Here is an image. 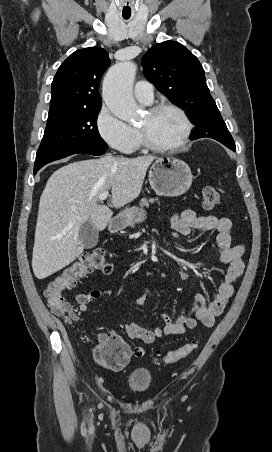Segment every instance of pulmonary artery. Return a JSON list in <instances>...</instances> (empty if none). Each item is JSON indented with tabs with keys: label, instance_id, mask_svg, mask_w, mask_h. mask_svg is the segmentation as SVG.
I'll use <instances>...</instances> for the list:
<instances>
[{
	"label": "pulmonary artery",
	"instance_id": "e3ab8cb5",
	"mask_svg": "<svg viewBox=\"0 0 272 452\" xmlns=\"http://www.w3.org/2000/svg\"><path fill=\"white\" fill-rule=\"evenodd\" d=\"M135 98L144 104L153 101V86L147 81H138L134 87Z\"/></svg>",
	"mask_w": 272,
	"mask_h": 452
}]
</instances>
